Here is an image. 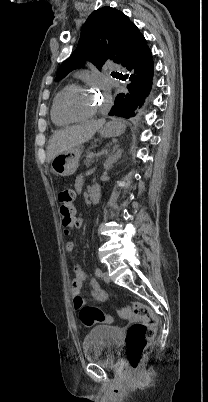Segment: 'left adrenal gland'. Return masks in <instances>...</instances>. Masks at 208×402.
Masks as SVG:
<instances>
[{
    "label": "left adrenal gland",
    "instance_id": "obj_1",
    "mask_svg": "<svg viewBox=\"0 0 208 402\" xmlns=\"http://www.w3.org/2000/svg\"><path fill=\"white\" fill-rule=\"evenodd\" d=\"M122 152H123V150H119V146H113V150H112L111 154H109V156L104 164V170H109V168H111L112 164H114V162H117V160H119V158H121Z\"/></svg>",
    "mask_w": 208,
    "mask_h": 402
}]
</instances>
